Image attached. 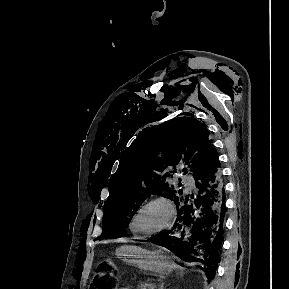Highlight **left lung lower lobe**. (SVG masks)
Instances as JSON below:
<instances>
[{
    "label": "left lung lower lobe",
    "mask_w": 289,
    "mask_h": 289,
    "mask_svg": "<svg viewBox=\"0 0 289 289\" xmlns=\"http://www.w3.org/2000/svg\"><path fill=\"white\" fill-rule=\"evenodd\" d=\"M194 178L196 191L175 201L178 215L173 228L149 240L184 261L202 262L201 269L211 280L219 260L225 214V190L216 150Z\"/></svg>",
    "instance_id": "0a47b994"
}]
</instances>
